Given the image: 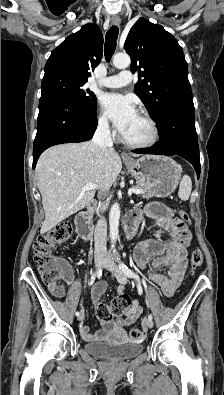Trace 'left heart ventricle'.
I'll list each match as a JSON object with an SVG mask.
<instances>
[{
	"label": "left heart ventricle",
	"mask_w": 224,
	"mask_h": 395,
	"mask_svg": "<svg viewBox=\"0 0 224 395\" xmlns=\"http://www.w3.org/2000/svg\"><path fill=\"white\" fill-rule=\"evenodd\" d=\"M121 134L131 141H145L150 137V127L148 123L137 114Z\"/></svg>",
	"instance_id": "1"
}]
</instances>
